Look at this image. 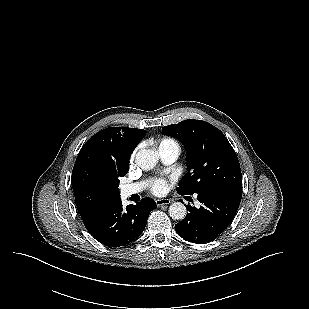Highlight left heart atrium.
<instances>
[{"label": "left heart atrium", "mask_w": 309, "mask_h": 309, "mask_svg": "<svg viewBox=\"0 0 309 309\" xmlns=\"http://www.w3.org/2000/svg\"><path fill=\"white\" fill-rule=\"evenodd\" d=\"M167 181L163 178L156 179L151 184V192L155 195H162L167 190Z\"/></svg>", "instance_id": "left-heart-atrium-1"}]
</instances>
